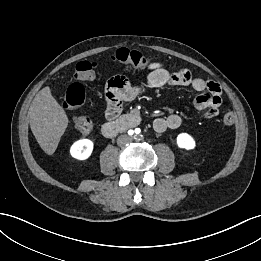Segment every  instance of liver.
I'll list each match as a JSON object with an SVG mask.
<instances>
[{
  "label": "liver",
  "mask_w": 261,
  "mask_h": 261,
  "mask_svg": "<svg viewBox=\"0 0 261 261\" xmlns=\"http://www.w3.org/2000/svg\"><path fill=\"white\" fill-rule=\"evenodd\" d=\"M28 115L37 142L46 154L52 155L68 126V117L48 86L36 94Z\"/></svg>",
  "instance_id": "1"
}]
</instances>
